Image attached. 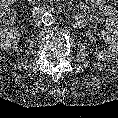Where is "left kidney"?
<instances>
[{"label":"left kidney","instance_id":"obj_1","mask_svg":"<svg viewBox=\"0 0 118 118\" xmlns=\"http://www.w3.org/2000/svg\"><path fill=\"white\" fill-rule=\"evenodd\" d=\"M98 35L108 44V47L103 51L96 49L94 55L102 61L114 60L118 56V40L105 30H101Z\"/></svg>","mask_w":118,"mask_h":118}]
</instances>
